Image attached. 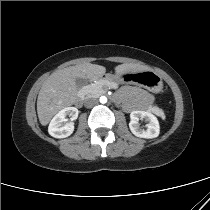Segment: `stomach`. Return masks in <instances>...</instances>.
I'll return each instance as SVG.
<instances>
[{"label": "stomach", "mask_w": 210, "mask_h": 210, "mask_svg": "<svg viewBox=\"0 0 210 210\" xmlns=\"http://www.w3.org/2000/svg\"><path fill=\"white\" fill-rule=\"evenodd\" d=\"M116 78L145 88L153 93H159L163 89L162 78L155 71L133 72L126 74L124 78H121L120 75H117Z\"/></svg>", "instance_id": "0dacf381"}]
</instances>
